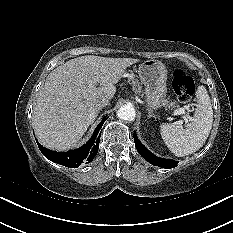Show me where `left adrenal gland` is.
<instances>
[{
	"mask_svg": "<svg viewBox=\"0 0 233 233\" xmlns=\"http://www.w3.org/2000/svg\"><path fill=\"white\" fill-rule=\"evenodd\" d=\"M151 117L156 118L155 115H152V114L149 112L148 118H151Z\"/></svg>",
	"mask_w": 233,
	"mask_h": 233,
	"instance_id": "a2214340",
	"label": "left adrenal gland"
}]
</instances>
